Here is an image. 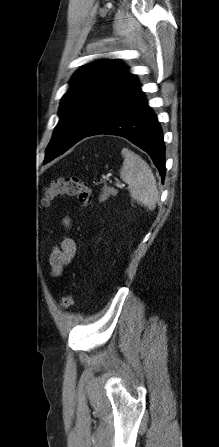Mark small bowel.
<instances>
[{
    "instance_id": "small-bowel-1",
    "label": "small bowel",
    "mask_w": 219,
    "mask_h": 447,
    "mask_svg": "<svg viewBox=\"0 0 219 447\" xmlns=\"http://www.w3.org/2000/svg\"><path fill=\"white\" fill-rule=\"evenodd\" d=\"M63 224L66 228H70L72 221L69 217H65ZM76 250V243L73 239L67 236L62 239L60 246L55 248L50 255L53 276L61 274L63 268L74 258Z\"/></svg>"
}]
</instances>
